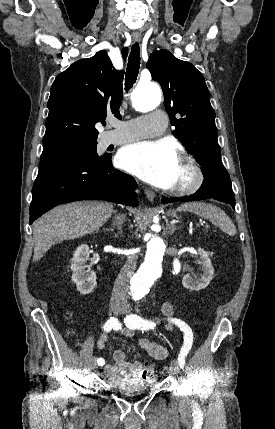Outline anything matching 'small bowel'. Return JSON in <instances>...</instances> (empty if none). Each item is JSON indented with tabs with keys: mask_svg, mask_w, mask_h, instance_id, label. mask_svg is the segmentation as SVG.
I'll use <instances>...</instances> for the list:
<instances>
[{
	"mask_svg": "<svg viewBox=\"0 0 275 429\" xmlns=\"http://www.w3.org/2000/svg\"><path fill=\"white\" fill-rule=\"evenodd\" d=\"M163 314L166 317L173 316V308L170 303H165L163 306ZM168 327L171 328L172 324L169 323ZM120 333L126 337H133L134 331L130 328L120 329ZM138 345L144 349L150 357L156 360H164L167 357V349L153 341L148 340L147 338L140 337L137 339ZM107 344V335L103 334L98 340V347L104 349ZM114 364H108L105 367V372L108 376L116 377L117 374L124 376L136 377L139 376L147 363L143 361H135L129 363L125 359V354L122 350H116L113 353Z\"/></svg>",
	"mask_w": 275,
	"mask_h": 429,
	"instance_id": "obj_1",
	"label": "small bowel"
}]
</instances>
